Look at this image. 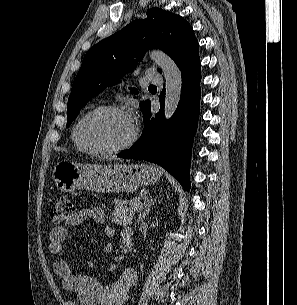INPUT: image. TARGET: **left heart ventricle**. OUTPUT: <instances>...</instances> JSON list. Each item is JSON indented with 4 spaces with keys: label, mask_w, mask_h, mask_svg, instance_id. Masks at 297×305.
Returning a JSON list of instances; mask_svg holds the SVG:
<instances>
[{
    "label": "left heart ventricle",
    "mask_w": 297,
    "mask_h": 305,
    "mask_svg": "<svg viewBox=\"0 0 297 305\" xmlns=\"http://www.w3.org/2000/svg\"><path fill=\"white\" fill-rule=\"evenodd\" d=\"M132 131L130 119L116 113H99L88 118L82 125L84 141L96 147L110 148L125 142Z\"/></svg>",
    "instance_id": "1"
}]
</instances>
